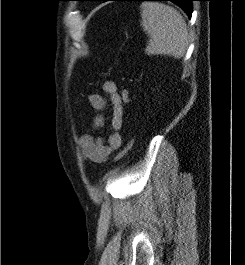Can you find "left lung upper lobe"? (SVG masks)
<instances>
[{"mask_svg":"<svg viewBox=\"0 0 245 265\" xmlns=\"http://www.w3.org/2000/svg\"><path fill=\"white\" fill-rule=\"evenodd\" d=\"M88 1H103V0H88Z\"/></svg>","mask_w":245,"mask_h":265,"instance_id":"obj_1","label":"left lung upper lobe"}]
</instances>
